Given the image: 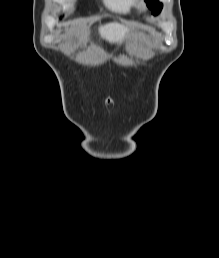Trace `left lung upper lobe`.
<instances>
[{"instance_id": "1", "label": "left lung upper lobe", "mask_w": 219, "mask_h": 258, "mask_svg": "<svg viewBox=\"0 0 219 258\" xmlns=\"http://www.w3.org/2000/svg\"><path fill=\"white\" fill-rule=\"evenodd\" d=\"M147 2L148 7L152 10V14L157 15L162 10V3L158 2V0H145Z\"/></svg>"}]
</instances>
